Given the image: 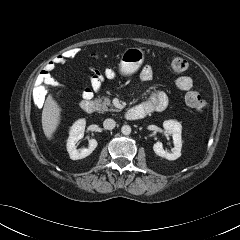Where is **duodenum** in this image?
<instances>
[{
  "mask_svg": "<svg viewBox=\"0 0 240 240\" xmlns=\"http://www.w3.org/2000/svg\"><path fill=\"white\" fill-rule=\"evenodd\" d=\"M81 109L88 114L95 110V103L91 99H84L80 103ZM146 116V111L141 107H132L125 112V117L128 120H139Z\"/></svg>",
  "mask_w": 240,
  "mask_h": 240,
  "instance_id": "410a0bca",
  "label": "duodenum"
}]
</instances>
